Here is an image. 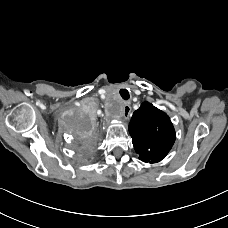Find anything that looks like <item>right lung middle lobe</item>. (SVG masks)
<instances>
[{
    "label": "right lung middle lobe",
    "mask_w": 228,
    "mask_h": 228,
    "mask_svg": "<svg viewBox=\"0 0 228 228\" xmlns=\"http://www.w3.org/2000/svg\"><path fill=\"white\" fill-rule=\"evenodd\" d=\"M90 122L77 119L75 126L72 129V133L76 136L78 144L85 146L88 143V138L91 134Z\"/></svg>",
    "instance_id": "right-lung-middle-lobe-1"
}]
</instances>
